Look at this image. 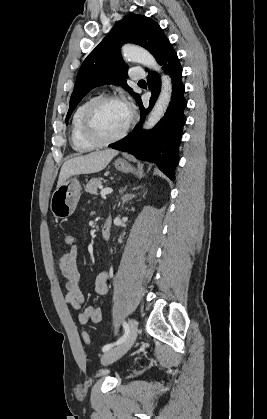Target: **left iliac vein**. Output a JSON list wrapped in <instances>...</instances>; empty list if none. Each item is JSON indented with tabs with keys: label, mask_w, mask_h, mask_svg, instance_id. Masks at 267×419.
<instances>
[{
	"label": "left iliac vein",
	"mask_w": 267,
	"mask_h": 419,
	"mask_svg": "<svg viewBox=\"0 0 267 419\" xmlns=\"http://www.w3.org/2000/svg\"><path fill=\"white\" fill-rule=\"evenodd\" d=\"M138 334V326L134 319L129 320V334L126 340L117 347L106 351L101 362L104 365H109L122 357L134 344Z\"/></svg>",
	"instance_id": "1"
}]
</instances>
